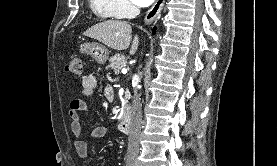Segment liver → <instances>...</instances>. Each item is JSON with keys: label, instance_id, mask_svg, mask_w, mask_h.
Listing matches in <instances>:
<instances>
[{"label": "liver", "instance_id": "1", "mask_svg": "<svg viewBox=\"0 0 277 166\" xmlns=\"http://www.w3.org/2000/svg\"><path fill=\"white\" fill-rule=\"evenodd\" d=\"M132 28L126 21L107 20L87 29L83 35L98 40L114 50H126L132 40ZM139 38L136 35L130 49L134 55L138 49Z\"/></svg>", "mask_w": 277, "mask_h": 166}]
</instances>
